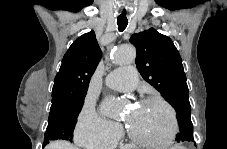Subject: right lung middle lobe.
<instances>
[{"mask_svg": "<svg viewBox=\"0 0 227 149\" xmlns=\"http://www.w3.org/2000/svg\"><path fill=\"white\" fill-rule=\"evenodd\" d=\"M84 98L85 95L78 97L68 95L52 97L43 146L47 145L51 140L72 141L73 130Z\"/></svg>", "mask_w": 227, "mask_h": 149, "instance_id": "obj_1", "label": "right lung middle lobe"}]
</instances>
